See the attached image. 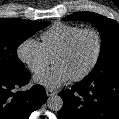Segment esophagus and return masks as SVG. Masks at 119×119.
Here are the masks:
<instances>
[{"label": "esophagus", "mask_w": 119, "mask_h": 119, "mask_svg": "<svg viewBox=\"0 0 119 119\" xmlns=\"http://www.w3.org/2000/svg\"><path fill=\"white\" fill-rule=\"evenodd\" d=\"M55 94H57V91L52 90V89H46V95L47 96H53Z\"/></svg>", "instance_id": "obj_1"}]
</instances>
